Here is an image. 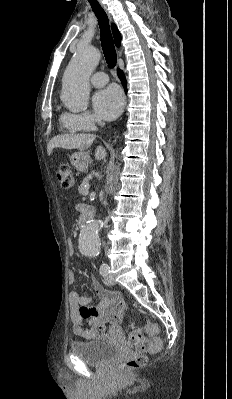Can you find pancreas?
I'll return each mask as SVG.
<instances>
[{
	"mask_svg": "<svg viewBox=\"0 0 232 399\" xmlns=\"http://www.w3.org/2000/svg\"><path fill=\"white\" fill-rule=\"evenodd\" d=\"M89 188V180L88 178H84L83 182H81L80 186H78L79 194H84L86 190Z\"/></svg>",
	"mask_w": 232,
	"mask_h": 399,
	"instance_id": "pancreas-1",
	"label": "pancreas"
}]
</instances>
